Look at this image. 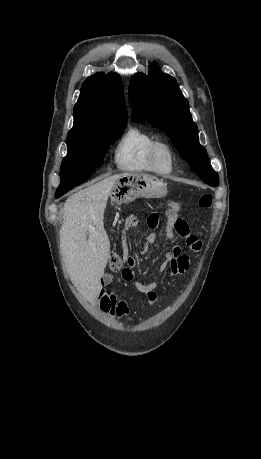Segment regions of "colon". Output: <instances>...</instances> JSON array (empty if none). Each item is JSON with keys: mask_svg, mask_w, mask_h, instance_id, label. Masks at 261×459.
Masks as SVG:
<instances>
[{"mask_svg": "<svg viewBox=\"0 0 261 459\" xmlns=\"http://www.w3.org/2000/svg\"><path fill=\"white\" fill-rule=\"evenodd\" d=\"M201 209H209L212 206L211 194H203L198 201ZM180 204L176 201H171L168 204V219L173 220L176 226L181 230L185 227L186 223L179 217ZM146 224L151 229H156L160 225V218L158 214L152 213L146 218ZM123 260L119 254L111 255L109 259V268L112 272H118L122 269Z\"/></svg>", "mask_w": 261, "mask_h": 459, "instance_id": "obj_1", "label": "colon"}]
</instances>
